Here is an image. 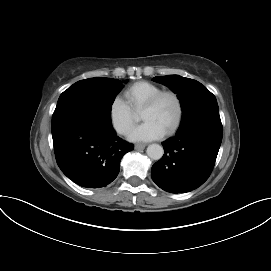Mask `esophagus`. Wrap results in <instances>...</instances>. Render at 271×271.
<instances>
[{
	"mask_svg": "<svg viewBox=\"0 0 271 271\" xmlns=\"http://www.w3.org/2000/svg\"><path fill=\"white\" fill-rule=\"evenodd\" d=\"M146 147V144H143V143H137L135 144L134 148L136 150H140V149H144Z\"/></svg>",
	"mask_w": 271,
	"mask_h": 271,
	"instance_id": "1",
	"label": "esophagus"
}]
</instances>
